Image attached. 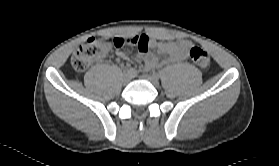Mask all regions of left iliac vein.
<instances>
[{
	"mask_svg": "<svg viewBox=\"0 0 279 166\" xmlns=\"http://www.w3.org/2000/svg\"><path fill=\"white\" fill-rule=\"evenodd\" d=\"M142 78L150 81L155 87L159 86V78L155 75H143Z\"/></svg>",
	"mask_w": 279,
	"mask_h": 166,
	"instance_id": "left-iliac-vein-1",
	"label": "left iliac vein"
}]
</instances>
